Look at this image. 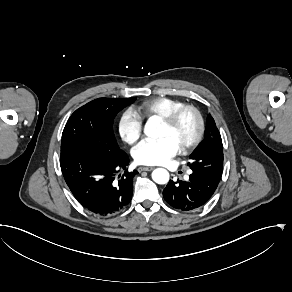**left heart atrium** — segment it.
I'll use <instances>...</instances> for the list:
<instances>
[{"label":"left heart atrium","mask_w":292,"mask_h":292,"mask_svg":"<svg viewBox=\"0 0 292 292\" xmlns=\"http://www.w3.org/2000/svg\"><path fill=\"white\" fill-rule=\"evenodd\" d=\"M181 150L179 143L171 136L160 139H146L134 151L137 163L143 165H160L176 156Z\"/></svg>","instance_id":"left-heart-atrium-1"}]
</instances>
